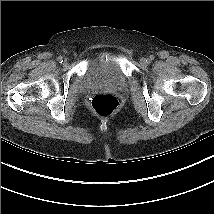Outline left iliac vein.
Wrapping results in <instances>:
<instances>
[{
  "instance_id": "left-iliac-vein-1",
  "label": "left iliac vein",
  "mask_w": 214,
  "mask_h": 214,
  "mask_svg": "<svg viewBox=\"0 0 214 214\" xmlns=\"http://www.w3.org/2000/svg\"><path fill=\"white\" fill-rule=\"evenodd\" d=\"M140 63L142 65H147L149 63V59L143 57V58H141Z\"/></svg>"
}]
</instances>
